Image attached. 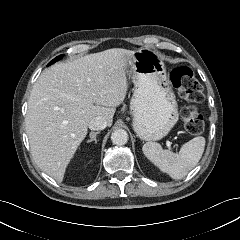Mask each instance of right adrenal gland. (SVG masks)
<instances>
[{"label":"right adrenal gland","mask_w":240,"mask_h":240,"mask_svg":"<svg viewBox=\"0 0 240 240\" xmlns=\"http://www.w3.org/2000/svg\"><path fill=\"white\" fill-rule=\"evenodd\" d=\"M100 132H91L90 133V140L87 141V143L94 141L95 143H97V139L96 136L97 134H99Z\"/></svg>","instance_id":"1"}]
</instances>
